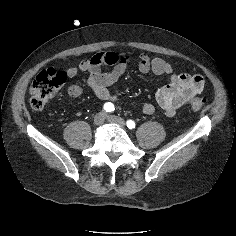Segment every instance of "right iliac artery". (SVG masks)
<instances>
[{"mask_svg":"<svg viewBox=\"0 0 236 236\" xmlns=\"http://www.w3.org/2000/svg\"><path fill=\"white\" fill-rule=\"evenodd\" d=\"M104 110L106 112L110 113V112H113L115 110V107H114V105L112 103L107 102V103L104 104Z\"/></svg>","mask_w":236,"mask_h":236,"instance_id":"82829eb1","label":"right iliac artery"}]
</instances>
